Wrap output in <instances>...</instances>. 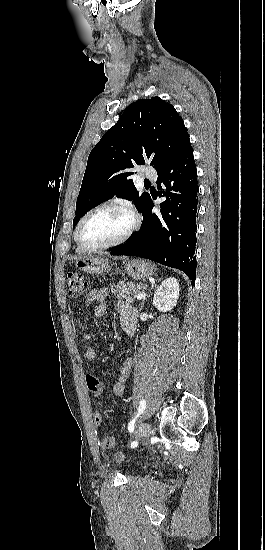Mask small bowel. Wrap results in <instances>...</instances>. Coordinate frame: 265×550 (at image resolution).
<instances>
[{
    "label": "small bowel",
    "instance_id": "small-bowel-1",
    "mask_svg": "<svg viewBox=\"0 0 265 550\" xmlns=\"http://www.w3.org/2000/svg\"><path fill=\"white\" fill-rule=\"evenodd\" d=\"M108 296V290L105 288H101L98 290H93L90 292V294L87 296L85 302L87 304L94 303V314L96 317L103 316L107 311V303L106 298ZM117 310L120 317V324L123 332L129 336L134 337L136 333V323H137V311L136 309L131 306L126 301L120 300L117 303ZM84 338L86 340L91 339V336L89 334L84 335ZM85 358L92 364H94L97 361V353L95 349L92 346H87L85 349ZM131 360L125 359L116 376V381L113 385V393L116 396H121L124 392L125 383L129 376V373L131 371ZM102 392V391H101ZM102 422V417L100 420H95V424H100Z\"/></svg>",
    "mask_w": 265,
    "mask_h": 550
}]
</instances>
